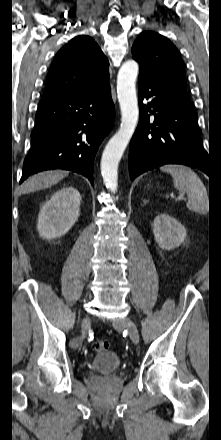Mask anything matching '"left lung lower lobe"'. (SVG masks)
I'll return each mask as SVG.
<instances>
[{"label":"left lung lower lobe","mask_w":221,"mask_h":440,"mask_svg":"<svg viewBox=\"0 0 221 440\" xmlns=\"http://www.w3.org/2000/svg\"><path fill=\"white\" fill-rule=\"evenodd\" d=\"M138 88L140 118L128 158L131 180L165 164H184L209 175L210 163L190 99L140 73ZM145 100L150 101L144 104Z\"/></svg>","instance_id":"obj_1"}]
</instances>
